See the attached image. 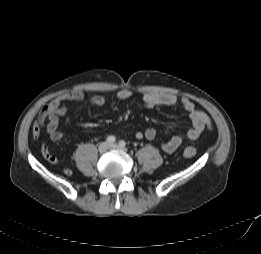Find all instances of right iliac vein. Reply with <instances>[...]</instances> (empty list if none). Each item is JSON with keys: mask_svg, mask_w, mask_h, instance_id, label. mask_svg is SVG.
<instances>
[{"mask_svg": "<svg viewBox=\"0 0 261 254\" xmlns=\"http://www.w3.org/2000/svg\"><path fill=\"white\" fill-rule=\"evenodd\" d=\"M108 149H109V144L107 142L101 143L98 147L100 153H105Z\"/></svg>", "mask_w": 261, "mask_h": 254, "instance_id": "63e3f726", "label": "right iliac vein"}]
</instances>
